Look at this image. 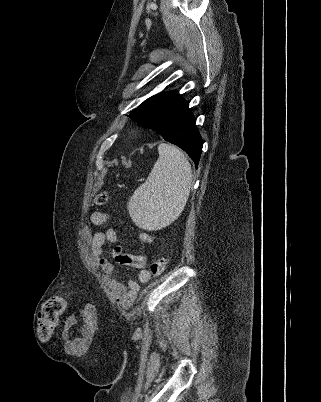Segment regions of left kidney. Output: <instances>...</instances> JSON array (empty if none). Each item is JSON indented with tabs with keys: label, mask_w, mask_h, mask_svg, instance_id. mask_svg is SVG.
<instances>
[{
	"label": "left kidney",
	"mask_w": 321,
	"mask_h": 402,
	"mask_svg": "<svg viewBox=\"0 0 321 402\" xmlns=\"http://www.w3.org/2000/svg\"><path fill=\"white\" fill-rule=\"evenodd\" d=\"M173 221H174V220H173ZM173 221H171V222H173ZM171 222H170V223H171ZM170 223H168L167 225H169ZM167 225H166V226H167Z\"/></svg>",
	"instance_id": "1"
}]
</instances>
